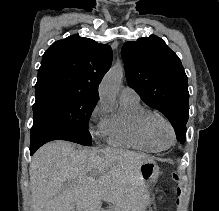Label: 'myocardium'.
Wrapping results in <instances>:
<instances>
[{
    "instance_id": "f54148a6",
    "label": "myocardium",
    "mask_w": 219,
    "mask_h": 211,
    "mask_svg": "<svg viewBox=\"0 0 219 211\" xmlns=\"http://www.w3.org/2000/svg\"><path fill=\"white\" fill-rule=\"evenodd\" d=\"M159 123L166 124L171 131L172 141L168 145H162L157 138L156 127ZM144 128H145V132L148 135V137L159 148H169V147L173 146L176 142V133H175L174 126L171 123V121L168 118H166L165 116H162V115L157 114V113H153V114L148 115L144 121Z\"/></svg>"
}]
</instances>
